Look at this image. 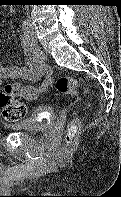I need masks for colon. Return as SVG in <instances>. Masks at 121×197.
<instances>
[{
	"mask_svg": "<svg viewBox=\"0 0 121 197\" xmlns=\"http://www.w3.org/2000/svg\"><path fill=\"white\" fill-rule=\"evenodd\" d=\"M56 89L60 93L69 96H75L78 91H81L85 96L88 95L87 88L78 80L69 76L59 77L56 80ZM33 96L34 91L30 86H23L17 83L7 84L4 90L0 91V109L4 119L12 122L23 119L27 114V108L18 99H32ZM79 128L78 122H74L69 126L65 137L67 143L73 141Z\"/></svg>",
	"mask_w": 121,
	"mask_h": 197,
	"instance_id": "1",
	"label": "colon"
}]
</instances>
